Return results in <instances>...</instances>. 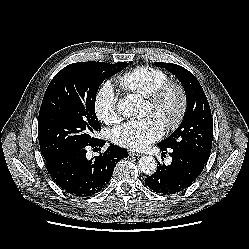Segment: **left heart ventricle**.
Listing matches in <instances>:
<instances>
[{"label":"left heart ventricle","mask_w":249,"mask_h":249,"mask_svg":"<svg viewBox=\"0 0 249 249\" xmlns=\"http://www.w3.org/2000/svg\"><path fill=\"white\" fill-rule=\"evenodd\" d=\"M174 103H175V98L172 94H170L165 101V110L163 112H156L152 109L149 103L146 102L145 104L146 113L158 116L161 119V121L165 123L167 115L171 111Z\"/></svg>","instance_id":"b2bd125f"}]
</instances>
